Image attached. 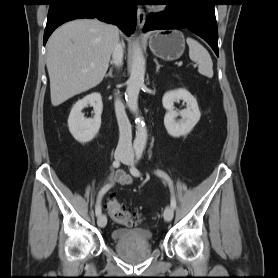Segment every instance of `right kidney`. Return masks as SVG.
I'll return each instance as SVG.
<instances>
[{
	"instance_id": "obj_1",
	"label": "right kidney",
	"mask_w": 278,
	"mask_h": 278,
	"mask_svg": "<svg viewBox=\"0 0 278 278\" xmlns=\"http://www.w3.org/2000/svg\"><path fill=\"white\" fill-rule=\"evenodd\" d=\"M87 105H91L94 109L95 115L92 119H86L82 113V109ZM102 110L100 93H91L74 104L68 118V127L75 140L80 143L93 140L101 126Z\"/></svg>"
}]
</instances>
